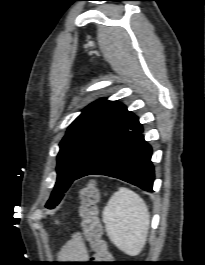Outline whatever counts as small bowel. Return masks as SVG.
Returning <instances> with one entry per match:
<instances>
[{"mask_svg": "<svg viewBox=\"0 0 205 265\" xmlns=\"http://www.w3.org/2000/svg\"><path fill=\"white\" fill-rule=\"evenodd\" d=\"M59 260L72 261V263H84L89 259V252L82 236L75 233L66 242L59 252Z\"/></svg>", "mask_w": 205, "mask_h": 265, "instance_id": "small-bowel-1", "label": "small bowel"}]
</instances>
